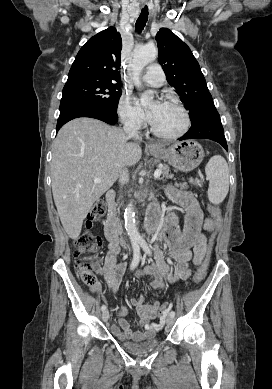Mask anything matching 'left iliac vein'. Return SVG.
Here are the masks:
<instances>
[{"mask_svg": "<svg viewBox=\"0 0 272 389\" xmlns=\"http://www.w3.org/2000/svg\"><path fill=\"white\" fill-rule=\"evenodd\" d=\"M173 323H174V317L168 316V317L166 318V324H167V326H171Z\"/></svg>", "mask_w": 272, "mask_h": 389, "instance_id": "left-iliac-vein-1", "label": "left iliac vein"}]
</instances>
